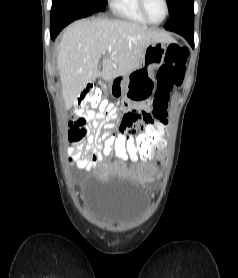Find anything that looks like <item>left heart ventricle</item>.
<instances>
[{"instance_id": "b2bd125f", "label": "left heart ventricle", "mask_w": 238, "mask_h": 278, "mask_svg": "<svg viewBox=\"0 0 238 278\" xmlns=\"http://www.w3.org/2000/svg\"><path fill=\"white\" fill-rule=\"evenodd\" d=\"M146 8L149 16L154 21H160L165 15L163 0H146Z\"/></svg>"}]
</instances>
